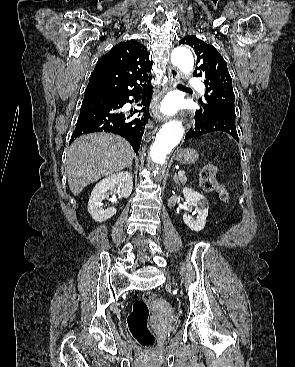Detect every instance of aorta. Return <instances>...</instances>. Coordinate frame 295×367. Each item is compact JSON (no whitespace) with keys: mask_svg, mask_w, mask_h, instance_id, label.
Returning a JSON list of instances; mask_svg holds the SVG:
<instances>
[{"mask_svg":"<svg viewBox=\"0 0 295 367\" xmlns=\"http://www.w3.org/2000/svg\"><path fill=\"white\" fill-rule=\"evenodd\" d=\"M172 62L180 71L190 74L194 67L192 53L186 48H176L172 52ZM184 128L180 121L172 120L165 123L156 134L155 141L150 148L151 164L156 167L166 162L169 154L182 140Z\"/></svg>","mask_w":295,"mask_h":367,"instance_id":"obj_1","label":"aorta"}]
</instances>
